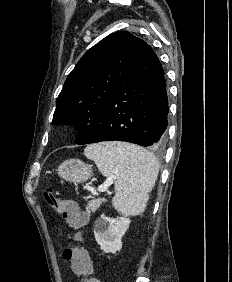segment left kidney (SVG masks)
I'll return each mask as SVG.
<instances>
[{
  "instance_id": "obj_1",
  "label": "left kidney",
  "mask_w": 232,
  "mask_h": 282,
  "mask_svg": "<svg viewBox=\"0 0 232 282\" xmlns=\"http://www.w3.org/2000/svg\"><path fill=\"white\" fill-rule=\"evenodd\" d=\"M130 219L125 217L110 218L102 215L95 222L94 236L101 250L116 253L122 248L121 239L129 228Z\"/></svg>"
}]
</instances>
